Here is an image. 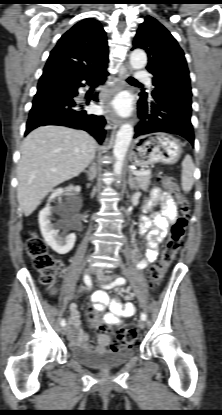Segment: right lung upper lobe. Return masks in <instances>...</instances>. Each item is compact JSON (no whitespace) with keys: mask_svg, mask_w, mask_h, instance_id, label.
Here are the masks:
<instances>
[{"mask_svg":"<svg viewBox=\"0 0 222 415\" xmlns=\"http://www.w3.org/2000/svg\"><path fill=\"white\" fill-rule=\"evenodd\" d=\"M108 62L105 31L98 21L85 19L62 35L44 69L55 68L85 75L106 69Z\"/></svg>","mask_w":222,"mask_h":415,"instance_id":"right-lung-upper-lobe-1","label":"right lung upper lobe"}]
</instances>
